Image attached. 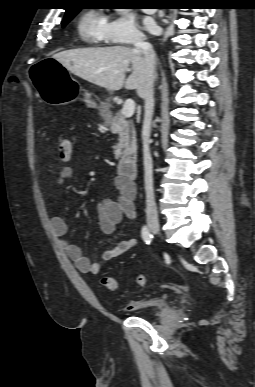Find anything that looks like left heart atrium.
Here are the masks:
<instances>
[{"label": "left heart atrium", "instance_id": "left-heart-atrium-1", "mask_svg": "<svg viewBox=\"0 0 255 387\" xmlns=\"http://www.w3.org/2000/svg\"><path fill=\"white\" fill-rule=\"evenodd\" d=\"M145 27L150 32H155L157 30V26H156L155 22L153 20H151V19H147L145 21Z\"/></svg>", "mask_w": 255, "mask_h": 387}]
</instances>
